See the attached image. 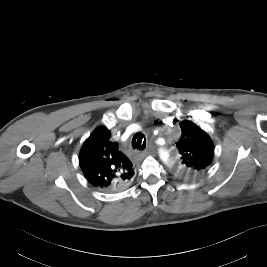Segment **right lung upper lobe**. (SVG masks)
<instances>
[{
    "mask_svg": "<svg viewBox=\"0 0 267 267\" xmlns=\"http://www.w3.org/2000/svg\"><path fill=\"white\" fill-rule=\"evenodd\" d=\"M80 167L88 182L105 191L127 188L134 175L132 163L110 140V132L100 126L84 142L80 155Z\"/></svg>",
    "mask_w": 267,
    "mask_h": 267,
    "instance_id": "cb5924a9",
    "label": "right lung upper lobe"
}]
</instances>
